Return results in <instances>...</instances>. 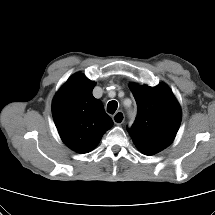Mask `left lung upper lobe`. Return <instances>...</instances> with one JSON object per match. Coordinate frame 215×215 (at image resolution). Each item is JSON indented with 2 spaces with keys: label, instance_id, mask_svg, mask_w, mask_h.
I'll return each instance as SVG.
<instances>
[{
  "label": "left lung upper lobe",
  "instance_id": "left-lung-upper-lobe-1",
  "mask_svg": "<svg viewBox=\"0 0 215 215\" xmlns=\"http://www.w3.org/2000/svg\"><path fill=\"white\" fill-rule=\"evenodd\" d=\"M130 89L138 114L128 132L139 151L156 154L173 142L181 123V108L164 83L153 88L132 83Z\"/></svg>",
  "mask_w": 215,
  "mask_h": 215
}]
</instances>
